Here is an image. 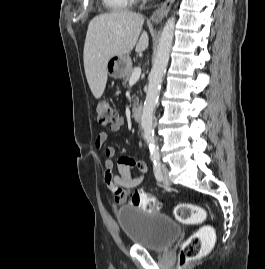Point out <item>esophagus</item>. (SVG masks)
I'll return each instance as SVG.
<instances>
[{
	"mask_svg": "<svg viewBox=\"0 0 265 269\" xmlns=\"http://www.w3.org/2000/svg\"><path fill=\"white\" fill-rule=\"evenodd\" d=\"M175 0H165L161 6L154 11L151 16V20L155 23L160 22L168 13L171 5Z\"/></svg>",
	"mask_w": 265,
	"mask_h": 269,
	"instance_id": "obj_1",
	"label": "esophagus"
}]
</instances>
